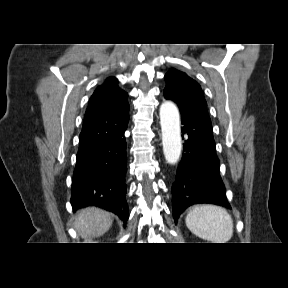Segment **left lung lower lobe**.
<instances>
[{
	"label": "left lung lower lobe",
	"instance_id": "1",
	"mask_svg": "<svg viewBox=\"0 0 288 288\" xmlns=\"http://www.w3.org/2000/svg\"><path fill=\"white\" fill-rule=\"evenodd\" d=\"M184 154L172 185L173 217L189 206L210 203L229 208L225 187L220 177L219 159L209 116L201 110L182 109Z\"/></svg>",
	"mask_w": 288,
	"mask_h": 288
}]
</instances>
